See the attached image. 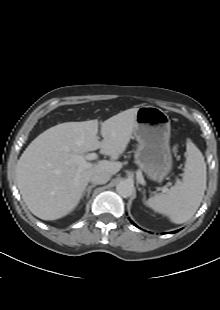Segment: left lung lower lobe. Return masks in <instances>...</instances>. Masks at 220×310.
<instances>
[{
  "label": "left lung lower lobe",
  "instance_id": "1",
  "mask_svg": "<svg viewBox=\"0 0 220 310\" xmlns=\"http://www.w3.org/2000/svg\"><path fill=\"white\" fill-rule=\"evenodd\" d=\"M179 230H177V231H174V232H172V233H175V232H178Z\"/></svg>",
  "mask_w": 220,
  "mask_h": 310
}]
</instances>
